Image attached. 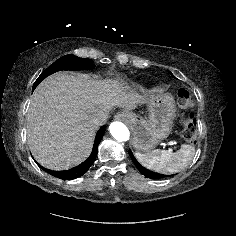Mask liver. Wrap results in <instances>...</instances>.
<instances>
[{"label":"liver","instance_id":"1","mask_svg":"<svg viewBox=\"0 0 236 236\" xmlns=\"http://www.w3.org/2000/svg\"><path fill=\"white\" fill-rule=\"evenodd\" d=\"M144 96L120 79L96 80L86 74L58 72L35 89L27 112L29 148L42 166L66 170L90 154L97 128L115 107L129 111Z\"/></svg>","mask_w":236,"mask_h":236}]
</instances>
